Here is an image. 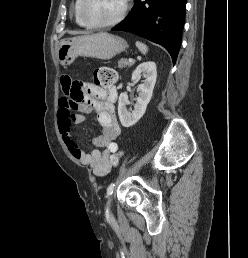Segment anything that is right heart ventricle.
<instances>
[{"mask_svg": "<svg viewBox=\"0 0 248 258\" xmlns=\"http://www.w3.org/2000/svg\"><path fill=\"white\" fill-rule=\"evenodd\" d=\"M73 14L75 22L80 26H86L84 21L82 20L80 14H79V0H75L74 6H73Z\"/></svg>", "mask_w": 248, "mask_h": 258, "instance_id": "right-heart-ventricle-1", "label": "right heart ventricle"}]
</instances>
